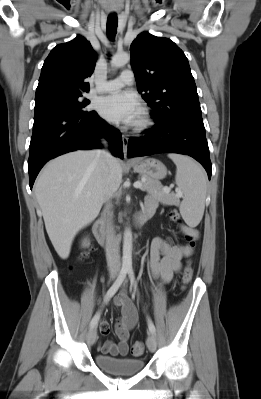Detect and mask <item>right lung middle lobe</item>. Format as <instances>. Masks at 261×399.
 Instances as JSON below:
<instances>
[{
  "instance_id": "right-lung-middle-lobe-1",
  "label": "right lung middle lobe",
  "mask_w": 261,
  "mask_h": 399,
  "mask_svg": "<svg viewBox=\"0 0 261 399\" xmlns=\"http://www.w3.org/2000/svg\"><path fill=\"white\" fill-rule=\"evenodd\" d=\"M81 96L82 94L60 95L35 100V114L53 110H63L78 116H90L94 111L88 112L84 110V107L88 105L90 101H81Z\"/></svg>"
}]
</instances>
